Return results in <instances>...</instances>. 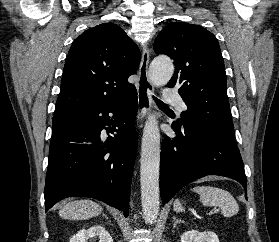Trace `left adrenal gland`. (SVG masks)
Segmentation results:
<instances>
[{
    "label": "left adrenal gland",
    "instance_id": "a2214340",
    "mask_svg": "<svg viewBox=\"0 0 279 242\" xmlns=\"http://www.w3.org/2000/svg\"><path fill=\"white\" fill-rule=\"evenodd\" d=\"M173 220H174V225H173V227H176V225H177L178 223H184V221L177 219L175 216H173Z\"/></svg>",
    "mask_w": 279,
    "mask_h": 242
}]
</instances>
